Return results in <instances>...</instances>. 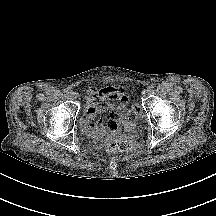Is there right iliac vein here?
<instances>
[{"label": "right iliac vein", "instance_id": "obj_1", "mask_svg": "<svg viewBox=\"0 0 216 216\" xmlns=\"http://www.w3.org/2000/svg\"><path fill=\"white\" fill-rule=\"evenodd\" d=\"M78 97V94L76 92H71L70 93V98L76 99Z\"/></svg>", "mask_w": 216, "mask_h": 216}]
</instances>
